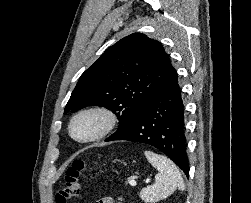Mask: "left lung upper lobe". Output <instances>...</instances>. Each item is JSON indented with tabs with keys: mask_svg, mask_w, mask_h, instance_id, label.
Masks as SVG:
<instances>
[{
	"mask_svg": "<svg viewBox=\"0 0 251 203\" xmlns=\"http://www.w3.org/2000/svg\"><path fill=\"white\" fill-rule=\"evenodd\" d=\"M170 66L169 56L157 40L142 33L124 37L81 75L64 114L89 105L111 110L119 119L118 130L111 138L131 124Z\"/></svg>",
	"mask_w": 251,
	"mask_h": 203,
	"instance_id": "left-lung-upper-lobe-1",
	"label": "left lung upper lobe"
}]
</instances>
